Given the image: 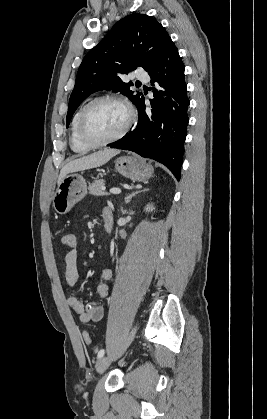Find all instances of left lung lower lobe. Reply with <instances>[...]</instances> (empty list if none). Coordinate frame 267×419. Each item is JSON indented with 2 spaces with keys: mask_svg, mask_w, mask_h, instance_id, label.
<instances>
[{
  "mask_svg": "<svg viewBox=\"0 0 267 419\" xmlns=\"http://www.w3.org/2000/svg\"><path fill=\"white\" fill-rule=\"evenodd\" d=\"M148 74L152 78L151 84L157 86L152 88L151 110H146L142 96L136 104L139 115L137 125L110 147L154 159L167 166L180 180L190 102L184 80V64L172 40Z\"/></svg>",
  "mask_w": 267,
  "mask_h": 419,
  "instance_id": "obj_1",
  "label": "left lung lower lobe"
}]
</instances>
